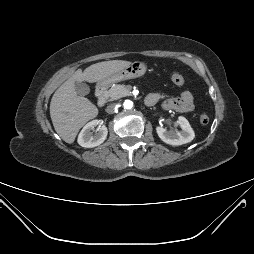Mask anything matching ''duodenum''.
I'll use <instances>...</instances> for the list:
<instances>
[{"label":"duodenum","instance_id":"410a0bca","mask_svg":"<svg viewBox=\"0 0 254 254\" xmlns=\"http://www.w3.org/2000/svg\"><path fill=\"white\" fill-rule=\"evenodd\" d=\"M97 104L99 107H103L106 103V87L104 85H99L96 89ZM145 103L148 106H152L149 99H145Z\"/></svg>","mask_w":254,"mask_h":254}]
</instances>
